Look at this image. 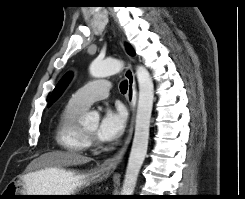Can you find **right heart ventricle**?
Listing matches in <instances>:
<instances>
[{"label": "right heart ventricle", "instance_id": "1", "mask_svg": "<svg viewBox=\"0 0 245 199\" xmlns=\"http://www.w3.org/2000/svg\"><path fill=\"white\" fill-rule=\"evenodd\" d=\"M84 111V109L68 102L57 122V142L63 149L72 154L84 153L90 147L78 122L79 117Z\"/></svg>", "mask_w": 245, "mask_h": 199}]
</instances>
